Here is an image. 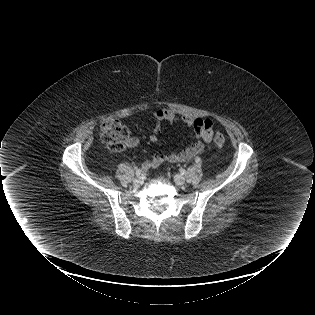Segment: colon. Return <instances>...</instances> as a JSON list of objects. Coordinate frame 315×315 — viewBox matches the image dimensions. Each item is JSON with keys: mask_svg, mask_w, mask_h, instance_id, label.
Masks as SVG:
<instances>
[{"mask_svg": "<svg viewBox=\"0 0 315 315\" xmlns=\"http://www.w3.org/2000/svg\"><path fill=\"white\" fill-rule=\"evenodd\" d=\"M101 138L106 147L112 152L123 151L128 143L129 131L118 120H113L104 123L101 126ZM226 138L221 133H216L213 136V142L217 146L225 144Z\"/></svg>", "mask_w": 315, "mask_h": 315, "instance_id": "1", "label": "colon"}]
</instances>
